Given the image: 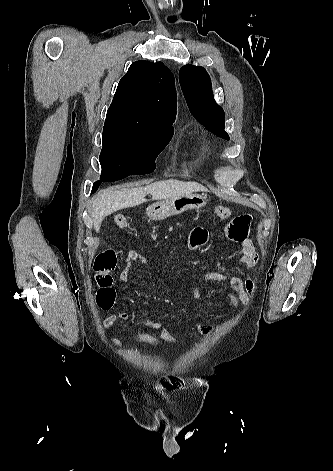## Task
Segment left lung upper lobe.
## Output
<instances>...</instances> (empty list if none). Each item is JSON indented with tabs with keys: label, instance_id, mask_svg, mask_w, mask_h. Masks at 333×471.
Listing matches in <instances>:
<instances>
[{
	"label": "left lung upper lobe",
	"instance_id": "obj_1",
	"mask_svg": "<svg viewBox=\"0 0 333 471\" xmlns=\"http://www.w3.org/2000/svg\"><path fill=\"white\" fill-rule=\"evenodd\" d=\"M179 82L192 115L215 135L229 139L224 131V110L216 103L205 68L191 64L179 71Z\"/></svg>",
	"mask_w": 333,
	"mask_h": 471
}]
</instances>
